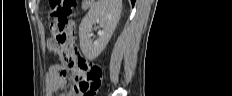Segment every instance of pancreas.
<instances>
[{
    "mask_svg": "<svg viewBox=\"0 0 232 96\" xmlns=\"http://www.w3.org/2000/svg\"><path fill=\"white\" fill-rule=\"evenodd\" d=\"M90 6V3H86L82 5V9H87Z\"/></svg>",
    "mask_w": 232,
    "mask_h": 96,
    "instance_id": "cf45deb5",
    "label": "pancreas"
}]
</instances>
